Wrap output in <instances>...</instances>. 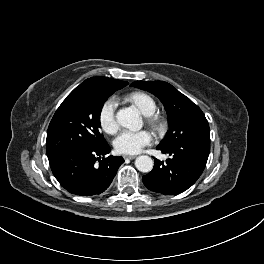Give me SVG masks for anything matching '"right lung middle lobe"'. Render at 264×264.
Returning <instances> with one entry per match:
<instances>
[{
  "mask_svg": "<svg viewBox=\"0 0 264 264\" xmlns=\"http://www.w3.org/2000/svg\"><path fill=\"white\" fill-rule=\"evenodd\" d=\"M115 90L77 87L55 112L47 131L46 152L51 156L76 146L99 148L105 143L100 133V113Z\"/></svg>",
  "mask_w": 264,
  "mask_h": 264,
  "instance_id": "dd1d6c3e",
  "label": "right lung middle lobe"
}]
</instances>
